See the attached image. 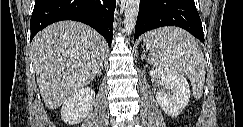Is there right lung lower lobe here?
<instances>
[{
  "label": "right lung lower lobe",
  "instance_id": "98d812e1",
  "mask_svg": "<svg viewBox=\"0 0 243 127\" xmlns=\"http://www.w3.org/2000/svg\"><path fill=\"white\" fill-rule=\"evenodd\" d=\"M115 7V0H35L30 39L54 22L75 20L93 27L110 47Z\"/></svg>",
  "mask_w": 243,
  "mask_h": 127
}]
</instances>
